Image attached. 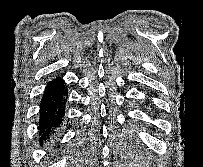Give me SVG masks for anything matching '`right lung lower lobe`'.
Segmentation results:
<instances>
[{
    "mask_svg": "<svg viewBox=\"0 0 203 167\" xmlns=\"http://www.w3.org/2000/svg\"><path fill=\"white\" fill-rule=\"evenodd\" d=\"M68 92L63 79L48 82L40 103L38 130L40 145L49 141L62 127Z\"/></svg>",
    "mask_w": 203,
    "mask_h": 167,
    "instance_id": "98d812e1",
    "label": "right lung lower lobe"
}]
</instances>
